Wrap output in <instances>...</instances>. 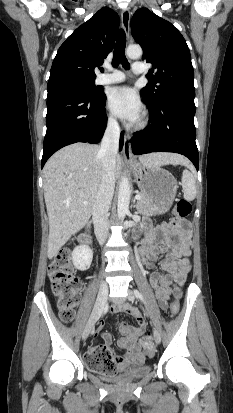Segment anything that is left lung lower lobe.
Returning <instances> with one entry per match:
<instances>
[{"label": "left lung lower lobe", "instance_id": "obj_1", "mask_svg": "<svg viewBox=\"0 0 233 413\" xmlns=\"http://www.w3.org/2000/svg\"><path fill=\"white\" fill-rule=\"evenodd\" d=\"M152 123L136 132L130 141L135 155L151 152H175L185 155L199 168V154L195 142V105L181 99L161 100L147 104Z\"/></svg>", "mask_w": 233, "mask_h": 413}]
</instances>
